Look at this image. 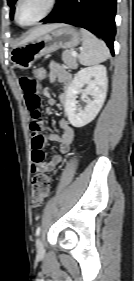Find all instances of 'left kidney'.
Returning a JSON list of instances; mask_svg holds the SVG:
<instances>
[{
	"label": "left kidney",
	"mask_w": 134,
	"mask_h": 281,
	"mask_svg": "<svg viewBox=\"0 0 134 281\" xmlns=\"http://www.w3.org/2000/svg\"><path fill=\"white\" fill-rule=\"evenodd\" d=\"M107 75L104 65H95L81 69L69 85L65 98V112L70 124L80 128L95 119L101 110L107 92ZM86 89H82L84 85ZM82 93L86 106L82 108L78 105L77 95ZM88 95L92 99L88 98Z\"/></svg>",
	"instance_id": "5707ae66"
}]
</instances>
